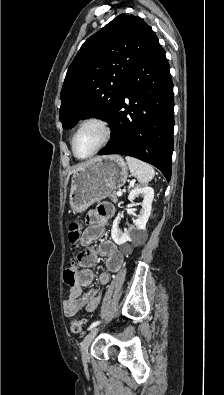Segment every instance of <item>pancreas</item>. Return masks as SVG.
I'll list each match as a JSON object with an SVG mask.
<instances>
[{"mask_svg": "<svg viewBox=\"0 0 224 395\" xmlns=\"http://www.w3.org/2000/svg\"><path fill=\"white\" fill-rule=\"evenodd\" d=\"M110 199L113 201V202H117V196H116V193L115 192H112L111 194H110Z\"/></svg>", "mask_w": 224, "mask_h": 395, "instance_id": "pancreas-1", "label": "pancreas"}]
</instances>
